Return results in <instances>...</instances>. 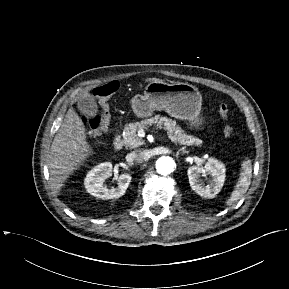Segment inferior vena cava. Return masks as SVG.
<instances>
[{"label":"inferior vena cava","instance_id":"inferior-vena-cava-1","mask_svg":"<svg viewBox=\"0 0 289 289\" xmlns=\"http://www.w3.org/2000/svg\"><path fill=\"white\" fill-rule=\"evenodd\" d=\"M149 159V155L145 150H135L126 156V160L129 163H142L144 161H147Z\"/></svg>","mask_w":289,"mask_h":289}]
</instances>
